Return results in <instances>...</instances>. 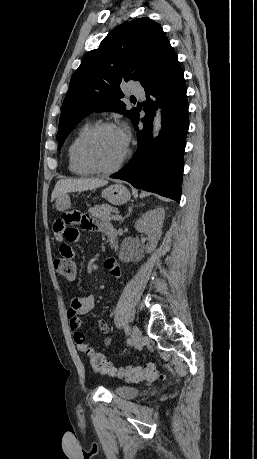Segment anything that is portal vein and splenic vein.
Listing matches in <instances>:
<instances>
[{
  "instance_id": "obj_1",
  "label": "portal vein and splenic vein",
  "mask_w": 257,
  "mask_h": 459,
  "mask_svg": "<svg viewBox=\"0 0 257 459\" xmlns=\"http://www.w3.org/2000/svg\"><path fill=\"white\" fill-rule=\"evenodd\" d=\"M120 219H122V217L120 215L113 216V220H115V221L120 220Z\"/></svg>"
}]
</instances>
